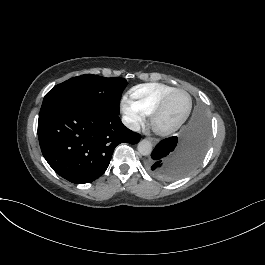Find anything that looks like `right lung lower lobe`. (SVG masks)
I'll return each instance as SVG.
<instances>
[{
  "label": "right lung lower lobe",
  "instance_id": "98d812e1",
  "mask_svg": "<svg viewBox=\"0 0 265 265\" xmlns=\"http://www.w3.org/2000/svg\"><path fill=\"white\" fill-rule=\"evenodd\" d=\"M38 137L52 169L77 184L100 177L118 144L140 141V135L126 128L118 116L93 113L75 104H60L40 113Z\"/></svg>",
  "mask_w": 265,
  "mask_h": 265
}]
</instances>
